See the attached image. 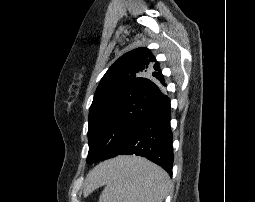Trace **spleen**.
<instances>
[{"label": "spleen", "instance_id": "spleen-1", "mask_svg": "<svg viewBox=\"0 0 255 202\" xmlns=\"http://www.w3.org/2000/svg\"><path fill=\"white\" fill-rule=\"evenodd\" d=\"M101 167L97 186L106 185L99 202H162L170 180L159 166L140 157H118Z\"/></svg>", "mask_w": 255, "mask_h": 202}]
</instances>
